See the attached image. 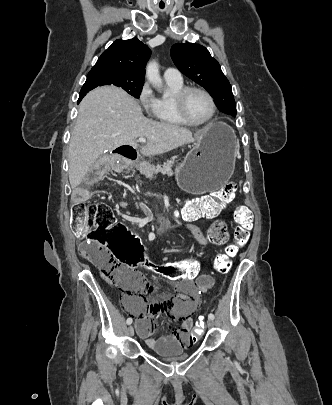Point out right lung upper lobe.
Segmentation results:
<instances>
[{"instance_id": "cb5924a9", "label": "right lung upper lobe", "mask_w": 332, "mask_h": 405, "mask_svg": "<svg viewBox=\"0 0 332 405\" xmlns=\"http://www.w3.org/2000/svg\"><path fill=\"white\" fill-rule=\"evenodd\" d=\"M150 54L148 46L138 38L118 39L102 53L89 73L111 71L144 80V68Z\"/></svg>"}]
</instances>
